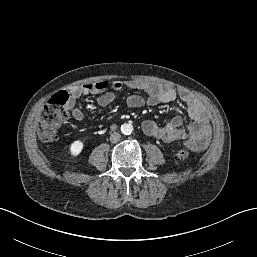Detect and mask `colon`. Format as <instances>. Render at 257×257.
<instances>
[{
	"mask_svg": "<svg viewBox=\"0 0 257 257\" xmlns=\"http://www.w3.org/2000/svg\"><path fill=\"white\" fill-rule=\"evenodd\" d=\"M69 102L70 94L60 91L43 106L36 122V130L41 140L52 142L58 139L59 130L69 116ZM189 156L188 149H182L176 154L178 160H185Z\"/></svg>",
	"mask_w": 257,
	"mask_h": 257,
	"instance_id": "5ec220e1",
	"label": "colon"
}]
</instances>
